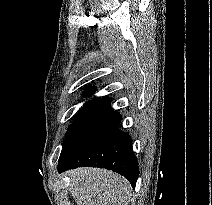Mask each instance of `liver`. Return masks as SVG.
<instances>
[{
	"label": "liver",
	"instance_id": "obj_1",
	"mask_svg": "<svg viewBox=\"0 0 212 205\" xmlns=\"http://www.w3.org/2000/svg\"><path fill=\"white\" fill-rule=\"evenodd\" d=\"M68 175L77 205H128L132 189L124 177L98 168H78Z\"/></svg>",
	"mask_w": 212,
	"mask_h": 205
}]
</instances>
